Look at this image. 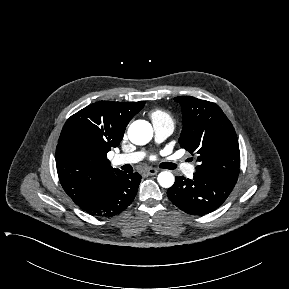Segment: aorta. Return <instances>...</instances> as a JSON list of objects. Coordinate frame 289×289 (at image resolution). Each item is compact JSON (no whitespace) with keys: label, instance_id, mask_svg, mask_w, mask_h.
<instances>
[{"label":"aorta","instance_id":"aorta-1","mask_svg":"<svg viewBox=\"0 0 289 289\" xmlns=\"http://www.w3.org/2000/svg\"><path fill=\"white\" fill-rule=\"evenodd\" d=\"M153 137V128L145 120H136L128 128V138L135 145H145ZM157 181L163 188H170L174 184V175L169 171L158 174Z\"/></svg>","mask_w":289,"mask_h":289}]
</instances>
